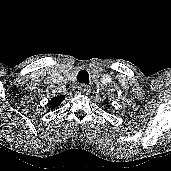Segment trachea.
<instances>
[{"mask_svg": "<svg viewBox=\"0 0 171 171\" xmlns=\"http://www.w3.org/2000/svg\"><path fill=\"white\" fill-rule=\"evenodd\" d=\"M77 81L79 83L89 84V74L86 70L79 71L77 75Z\"/></svg>", "mask_w": 171, "mask_h": 171, "instance_id": "3493384b", "label": "trachea"}]
</instances>
